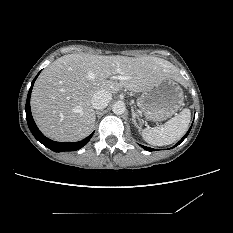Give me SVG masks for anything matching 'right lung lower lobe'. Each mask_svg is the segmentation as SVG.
I'll return each instance as SVG.
<instances>
[{"label": "right lung lower lobe", "instance_id": "right-lung-lower-lobe-1", "mask_svg": "<svg viewBox=\"0 0 233 233\" xmlns=\"http://www.w3.org/2000/svg\"><path fill=\"white\" fill-rule=\"evenodd\" d=\"M38 75L32 81V84H31V87L29 89L28 96H27L26 106H25L26 119H27V123H28V126H29L31 133L39 142H41L44 146H46L47 148L51 149L54 152L79 150L80 148H82L84 145H86L89 142L93 133L81 141L72 142V143H63V142H55V141L48 139L37 128V126L33 120V117L31 115L30 97H31L33 84H34L35 80L37 79Z\"/></svg>", "mask_w": 233, "mask_h": 233}]
</instances>
